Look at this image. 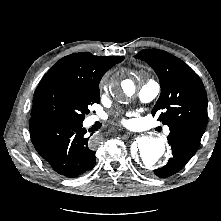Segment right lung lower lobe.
Wrapping results in <instances>:
<instances>
[{"mask_svg":"<svg viewBox=\"0 0 221 221\" xmlns=\"http://www.w3.org/2000/svg\"><path fill=\"white\" fill-rule=\"evenodd\" d=\"M29 129L36 151L58 174L76 177L95 166L93 142L81 121L32 117Z\"/></svg>","mask_w":221,"mask_h":221,"instance_id":"obj_1","label":"right lung lower lobe"}]
</instances>
